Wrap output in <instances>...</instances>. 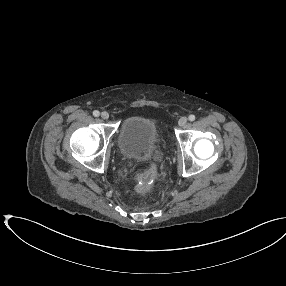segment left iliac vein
Here are the masks:
<instances>
[{"instance_id":"obj_1","label":"left iliac vein","mask_w":286,"mask_h":286,"mask_svg":"<svg viewBox=\"0 0 286 286\" xmlns=\"http://www.w3.org/2000/svg\"><path fill=\"white\" fill-rule=\"evenodd\" d=\"M187 123V118L186 117H181L178 121L179 126L183 127Z\"/></svg>"}]
</instances>
